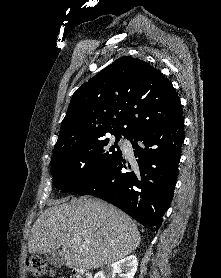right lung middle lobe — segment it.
<instances>
[{
  "label": "right lung middle lobe",
  "instance_id": "1",
  "mask_svg": "<svg viewBox=\"0 0 221 278\" xmlns=\"http://www.w3.org/2000/svg\"><path fill=\"white\" fill-rule=\"evenodd\" d=\"M119 138L113 143L100 136L54 151L51 174L56 189L75 191L106 169L122 154Z\"/></svg>",
  "mask_w": 221,
  "mask_h": 278
}]
</instances>
